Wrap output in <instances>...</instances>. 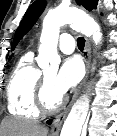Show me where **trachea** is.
<instances>
[{
  "label": "trachea",
  "mask_w": 117,
  "mask_h": 136,
  "mask_svg": "<svg viewBox=\"0 0 117 136\" xmlns=\"http://www.w3.org/2000/svg\"><path fill=\"white\" fill-rule=\"evenodd\" d=\"M77 46L80 50L84 49L85 46V39L83 37H78L77 39Z\"/></svg>",
  "instance_id": "1"
}]
</instances>
